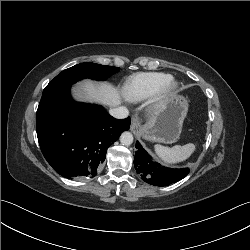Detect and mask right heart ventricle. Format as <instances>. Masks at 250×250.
<instances>
[{
    "label": "right heart ventricle",
    "instance_id": "1",
    "mask_svg": "<svg viewBox=\"0 0 250 250\" xmlns=\"http://www.w3.org/2000/svg\"><path fill=\"white\" fill-rule=\"evenodd\" d=\"M172 76L163 72L139 73L129 77L123 92L129 101L138 102L153 96Z\"/></svg>",
    "mask_w": 250,
    "mask_h": 250
}]
</instances>
